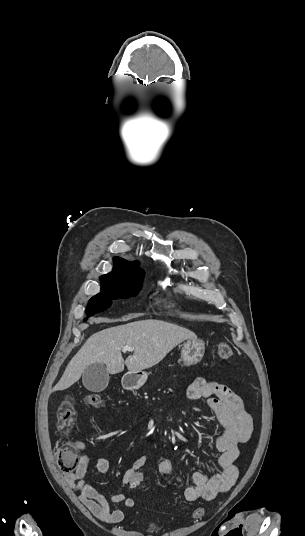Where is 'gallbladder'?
I'll return each mask as SVG.
<instances>
[{
  "mask_svg": "<svg viewBox=\"0 0 305 536\" xmlns=\"http://www.w3.org/2000/svg\"><path fill=\"white\" fill-rule=\"evenodd\" d=\"M110 376L104 364H91L82 374L83 386L89 392H102L109 384Z\"/></svg>",
  "mask_w": 305,
  "mask_h": 536,
  "instance_id": "bac80fb5",
  "label": "gallbladder"
}]
</instances>
